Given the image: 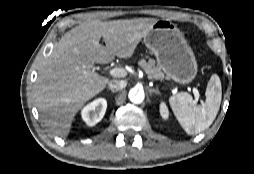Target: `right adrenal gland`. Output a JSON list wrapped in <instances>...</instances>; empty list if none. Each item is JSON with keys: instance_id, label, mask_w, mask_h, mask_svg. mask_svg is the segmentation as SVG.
Instances as JSON below:
<instances>
[{"instance_id": "obj_1", "label": "right adrenal gland", "mask_w": 254, "mask_h": 174, "mask_svg": "<svg viewBox=\"0 0 254 174\" xmlns=\"http://www.w3.org/2000/svg\"><path fill=\"white\" fill-rule=\"evenodd\" d=\"M108 90L111 91V93H115V91H113V90H111V89H109V88H108Z\"/></svg>"}]
</instances>
